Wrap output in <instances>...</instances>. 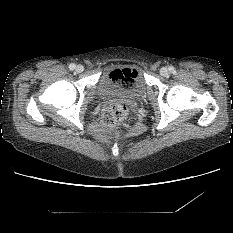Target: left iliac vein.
I'll return each instance as SVG.
<instances>
[{"label":"left iliac vein","mask_w":233,"mask_h":233,"mask_svg":"<svg viewBox=\"0 0 233 233\" xmlns=\"http://www.w3.org/2000/svg\"><path fill=\"white\" fill-rule=\"evenodd\" d=\"M160 74H161L162 76H167V75L169 74V71H168V69H167L166 67H162V68L160 69Z\"/></svg>","instance_id":"4c4485c4"}]
</instances>
